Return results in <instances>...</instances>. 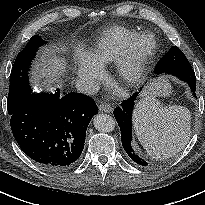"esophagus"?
<instances>
[{"instance_id": "34e87169", "label": "esophagus", "mask_w": 205, "mask_h": 205, "mask_svg": "<svg viewBox=\"0 0 205 205\" xmlns=\"http://www.w3.org/2000/svg\"><path fill=\"white\" fill-rule=\"evenodd\" d=\"M99 110L101 112L111 113L113 111V108L109 104H100Z\"/></svg>"}]
</instances>
